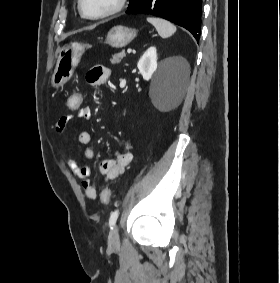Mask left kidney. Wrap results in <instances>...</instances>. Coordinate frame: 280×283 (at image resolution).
I'll return each instance as SVG.
<instances>
[{
	"label": "left kidney",
	"mask_w": 280,
	"mask_h": 283,
	"mask_svg": "<svg viewBox=\"0 0 280 283\" xmlns=\"http://www.w3.org/2000/svg\"><path fill=\"white\" fill-rule=\"evenodd\" d=\"M174 61H176L180 65H183L186 63L185 60L182 58H175ZM137 67L145 81H148L151 79L153 73L155 72L157 68L156 47L151 46L144 52V54L142 55V57L139 59L137 63Z\"/></svg>",
	"instance_id": "left-kidney-1"
}]
</instances>
